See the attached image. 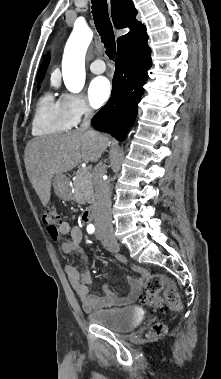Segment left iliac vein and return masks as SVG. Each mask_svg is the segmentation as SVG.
Here are the masks:
<instances>
[{
    "mask_svg": "<svg viewBox=\"0 0 221 379\" xmlns=\"http://www.w3.org/2000/svg\"><path fill=\"white\" fill-rule=\"evenodd\" d=\"M103 244L110 252L119 251V244L115 240H106L103 242Z\"/></svg>",
    "mask_w": 221,
    "mask_h": 379,
    "instance_id": "4c4485c4",
    "label": "left iliac vein"
}]
</instances>
